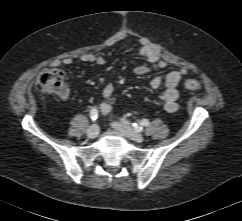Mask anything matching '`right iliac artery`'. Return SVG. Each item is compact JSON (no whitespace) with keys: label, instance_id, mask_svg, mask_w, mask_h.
<instances>
[{"label":"right iliac artery","instance_id":"right-iliac-artery-1","mask_svg":"<svg viewBox=\"0 0 242 221\" xmlns=\"http://www.w3.org/2000/svg\"><path fill=\"white\" fill-rule=\"evenodd\" d=\"M90 118L93 122L96 121V119L98 118V110L97 108H92L91 111H90Z\"/></svg>","mask_w":242,"mask_h":221}]
</instances>
